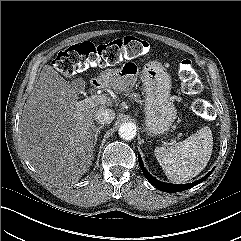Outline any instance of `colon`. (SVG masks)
I'll list each match as a JSON object with an SVG mask.
<instances>
[{"mask_svg":"<svg viewBox=\"0 0 241 241\" xmlns=\"http://www.w3.org/2000/svg\"><path fill=\"white\" fill-rule=\"evenodd\" d=\"M149 50L148 42L132 36L101 45L83 42L59 52L53 60V66L60 73L72 76L89 67L114 65L123 58L133 59L145 55ZM179 75L186 94L197 95L201 92L202 85L191 60L185 59L180 63ZM192 109L198 115H210L209 107L202 99H196Z\"/></svg>","mask_w":241,"mask_h":241,"instance_id":"obj_1","label":"colon"}]
</instances>
